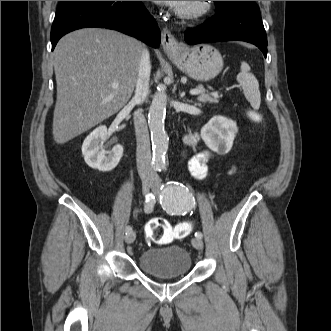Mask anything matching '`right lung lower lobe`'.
I'll list each match as a JSON object with an SVG mask.
<instances>
[{
	"label": "right lung lower lobe",
	"mask_w": 331,
	"mask_h": 331,
	"mask_svg": "<svg viewBox=\"0 0 331 331\" xmlns=\"http://www.w3.org/2000/svg\"><path fill=\"white\" fill-rule=\"evenodd\" d=\"M108 28L158 47L160 30L141 1H62L51 29L52 50L65 34L80 28Z\"/></svg>",
	"instance_id": "98d812e1"
}]
</instances>
